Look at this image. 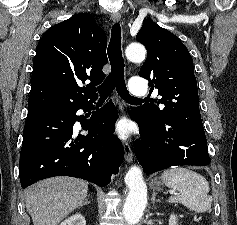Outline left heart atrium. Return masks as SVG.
<instances>
[{"label": "left heart atrium", "mask_w": 237, "mask_h": 225, "mask_svg": "<svg viewBox=\"0 0 237 225\" xmlns=\"http://www.w3.org/2000/svg\"><path fill=\"white\" fill-rule=\"evenodd\" d=\"M118 134L122 137H126L128 135V124L126 121H122L117 126Z\"/></svg>", "instance_id": "1"}]
</instances>
